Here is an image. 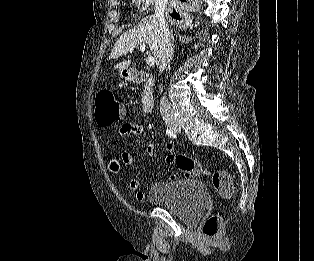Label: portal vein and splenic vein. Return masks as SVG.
<instances>
[{
	"label": "portal vein and splenic vein",
	"mask_w": 314,
	"mask_h": 261,
	"mask_svg": "<svg viewBox=\"0 0 314 261\" xmlns=\"http://www.w3.org/2000/svg\"><path fill=\"white\" fill-rule=\"evenodd\" d=\"M140 50H141L142 52L145 51V44H144V43H141V44H140ZM146 63H147V65H149V66H153V65L155 64V59H154V57H153V56H148L147 59H146Z\"/></svg>",
	"instance_id": "1"
}]
</instances>
